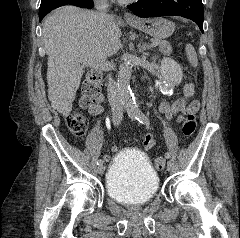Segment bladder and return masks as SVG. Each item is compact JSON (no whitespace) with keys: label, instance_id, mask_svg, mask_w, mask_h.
<instances>
[{"label":"bladder","instance_id":"bladder-1","mask_svg":"<svg viewBox=\"0 0 240 238\" xmlns=\"http://www.w3.org/2000/svg\"><path fill=\"white\" fill-rule=\"evenodd\" d=\"M158 189L159 176L144 153L132 148L117 153L106 175V191L112 200L127 205L145 204Z\"/></svg>","mask_w":240,"mask_h":238}]
</instances>
